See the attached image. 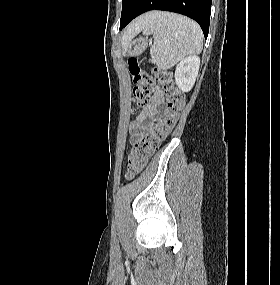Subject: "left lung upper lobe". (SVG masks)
<instances>
[{
    "instance_id": "left-lung-upper-lobe-1",
    "label": "left lung upper lobe",
    "mask_w": 280,
    "mask_h": 285,
    "mask_svg": "<svg viewBox=\"0 0 280 285\" xmlns=\"http://www.w3.org/2000/svg\"><path fill=\"white\" fill-rule=\"evenodd\" d=\"M137 0H123L120 25L125 22Z\"/></svg>"
}]
</instances>
